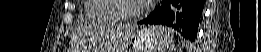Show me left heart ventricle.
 Returning a JSON list of instances; mask_svg holds the SVG:
<instances>
[{
  "label": "left heart ventricle",
  "instance_id": "1",
  "mask_svg": "<svg viewBox=\"0 0 261 52\" xmlns=\"http://www.w3.org/2000/svg\"><path fill=\"white\" fill-rule=\"evenodd\" d=\"M139 5V1H121L119 2L118 11L121 14L130 16L138 11Z\"/></svg>",
  "mask_w": 261,
  "mask_h": 52
}]
</instances>
